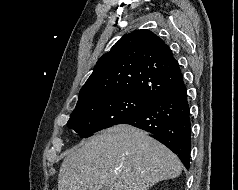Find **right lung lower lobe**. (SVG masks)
<instances>
[{"label": "right lung lower lobe", "mask_w": 238, "mask_h": 190, "mask_svg": "<svg viewBox=\"0 0 238 190\" xmlns=\"http://www.w3.org/2000/svg\"><path fill=\"white\" fill-rule=\"evenodd\" d=\"M119 124H129L152 133L155 139L178 155L187 169L190 168V108L183 78Z\"/></svg>", "instance_id": "1"}]
</instances>
